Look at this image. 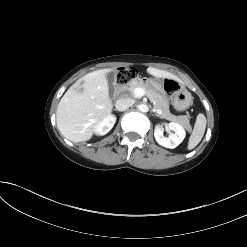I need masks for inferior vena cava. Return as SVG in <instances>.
Wrapping results in <instances>:
<instances>
[{"label":"inferior vena cava","mask_w":247,"mask_h":247,"mask_svg":"<svg viewBox=\"0 0 247 247\" xmlns=\"http://www.w3.org/2000/svg\"><path fill=\"white\" fill-rule=\"evenodd\" d=\"M134 104V100L131 98H120L116 101L115 107L118 111H125Z\"/></svg>","instance_id":"1"}]
</instances>
